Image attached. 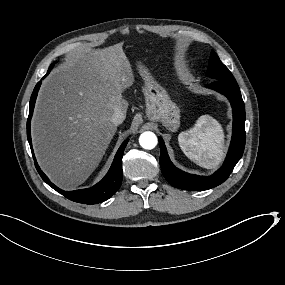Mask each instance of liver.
<instances>
[{"label": "liver", "instance_id": "1", "mask_svg": "<svg viewBox=\"0 0 285 285\" xmlns=\"http://www.w3.org/2000/svg\"><path fill=\"white\" fill-rule=\"evenodd\" d=\"M134 82L122 43L101 50L78 47L43 81L32 121L33 145L55 183L71 189L95 170L117 131L114 112L126 113L122 93Z\"/></svg>", "mask_w": 285, "mask_h": 285}]
</instances>
